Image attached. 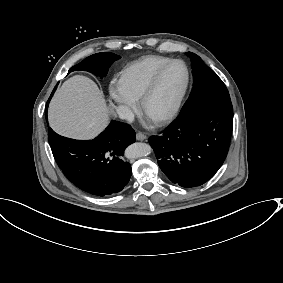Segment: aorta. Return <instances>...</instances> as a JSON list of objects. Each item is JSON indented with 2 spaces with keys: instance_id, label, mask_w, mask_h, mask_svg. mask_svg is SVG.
<instances>
[{
  "instance_id": "762f6f07",
  "label": "aorta",
  "mask_w": 283,
  "mask_h": 283,
  "mask_svg": "<svg viewBox=\"0 0 283 283\" xmlns=\"http://www.w3.org/2000/svg\"><path fill=\"white\" fill-rule=\"evenodd\" d=\"M152 151V148L149 144L137 142L130 145L126 151L125 156L129 159H136L140 157L147 156Z\"/></svg>"
}]
</instances>
